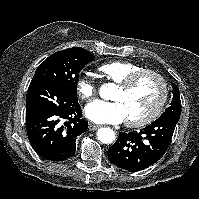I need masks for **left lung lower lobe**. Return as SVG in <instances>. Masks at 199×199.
Listing matches in <instances>:
<instances>
[{"instance_id":"obj_1","label":"left lung lower lobe","mask_w":199,"mask_h":199,"mask_svg":"<svg viewBox=\"0 0 199 199\" xmlns=\"http://www.w3.org/2000/svg\"><path fill=\"white\" fill-rule=\"evenodd\" d=\"M179 119L160 117L139 132H119L108 159L121 169L140 171L156 163L168 149Z\"/></svg>"}]
</instances>
